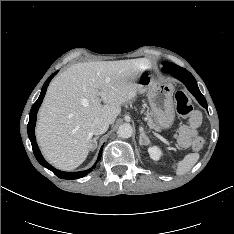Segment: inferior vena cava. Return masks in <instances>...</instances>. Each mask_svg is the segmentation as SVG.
Segmentation results:
<instances>
[{"label": "inferior vena cava", "instance_id": "inferior-vena-cava-1", "mask_svg": "<svg viewBox=\"0 0 234 234\" xmlns=\"http://www.w3.org/2000/svg\"><path fill=\"white\" fill-rule=\"evenodd\" d=\"M109 123L102 119L95 120L91 125V132L94 135H101L107 131Z\"/></svg>", "mask_w": 234, "mask_h": 234}]
</instances>
